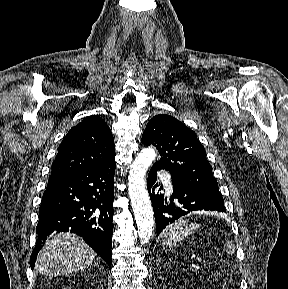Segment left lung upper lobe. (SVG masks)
Here are the masks:
<instances>
[{
    "label": "left lung upper lobe",
    "instance_id": "obj_1",
    "mask_svg": "<svg viewBox=\"0 0 288 289\" xmlns=\"http://www.w3.org/2000/svg\"><path fill=\"white\" fill-rule=\"evenodd\" d=\"M142 143L158 149L161 158L155 165L168 170L172 181L223 199L204 147L180 121L165 114L153 117L143 132Z\"/></svg>",
    "mask_w": 288,
    "mask_h": 289
}]
</instances>
